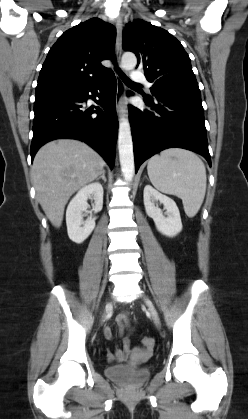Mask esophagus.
Here are the masks:
<instances>
[{
  "instance_id": "esophagus-1",
  "label": "esophagus",
  "mask_w": 248,
  "mask_h": 419,
  "mask_svg": "<svg viewBox=\"0 0 248 419\" xmlns=\"http://www.w3.org/2000/svg\"><path fill=\"white\" fill-rule=\"evenodd\" d=\"M122 18L118 16L115 19V27H116V49H115V57L117 67L114 69L116 80H117V91H116V109L119 112L122 106L124 105V98H125V85L118 74V69H121L120 59L122 54Z\"/></svg>"
}]
</instances>
